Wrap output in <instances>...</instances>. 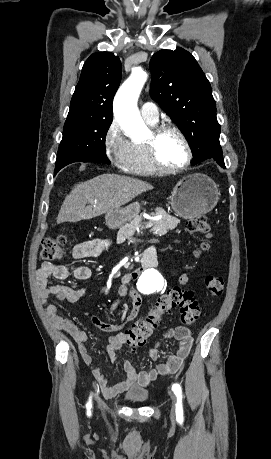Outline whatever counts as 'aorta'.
<instances>
[{
	"mask_svg": "<svg viewBox=\"0 0 271 459\" xmlns=\"http://www.w3.org/2000/svg\"><path fill=\"white\" fill-rule=\"evenodd\" d=\"M148 75L138 69L119 88L113 103L114 115L122 129L136 138H142L147 133V127L137 107L138 97ZM165 279L162 271L156 267L146 268L139 276L137 288L144 294L162 290Z\"/></svg>",
	"mask_w": 271,
	"mask_h": 459,
	"instance_id": "aorta-1",
	"label": "aorta"
}]
</instances>
